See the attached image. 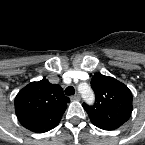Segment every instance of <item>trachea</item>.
<instances>
[{"instance_id": "obj_1", "label": "trachea", "mask_w": 145, "mask_h": 145, "mask_svg": "<svg viewBox=\"0 0 145 145\" xmlns=\"http://www.w3.org/2000/svg\"><path fill=\"white\" fill-rule=\"evenodd\" d=\"M65 94L70 96V95H74L75 94V89L73 86H68L66 89H65Z\"/></svg>"}]
</instances>
